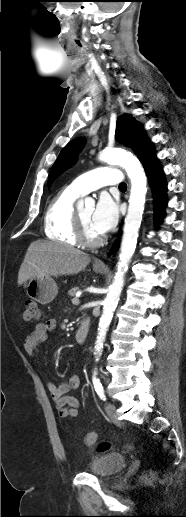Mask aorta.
I'll return each instance as SVG.
<instances>
[{
  "mask_svg": "<svg viewBox=\"0 0 186 517\" xmlns=\"http://www.w3.org/2000/svg\"><path fill=\"white\" fill-rule=\"evenodd\" d=\"M99 159L107 163H115L123 167L130 179L131 190L129 206L123 228L121 251L117 271L109 292L103 303V312L99 321L98 336L95 345V354L101 355L103 343L108 331L113 312L116 309L121 291L124 285L125 273L132 257L138 238V231L144 211L147 192V179L139 160L130 152L121 149H105L100 153Z\"/></svg>",
  "mask_w": 186,
  "mask_h": 517,
  "instance_id": "aorta-1",
  "label": "aorta"
}]
</instances>
